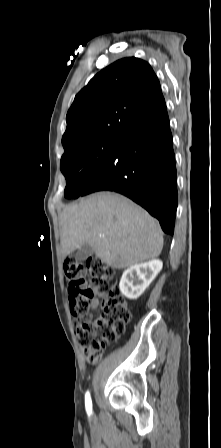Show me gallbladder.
<instances>
[{
	"mask_svg": "<svg viewBox=\"0 0 221 448\" xmlns=\"http://www.w3.org/2000/svg\"><path fill=\"white\" fill-rule=\"evenodd\" d=\"M93 252L92 247L89 244L82 245L79 249H77L75 257L79 261H83L87 259Z\"/></svg>",
	"mask_w": 221,
	"mask_h": 448,
	"instance_id": "obj_1",
	"label": "gallbladder"
}]
</instances>
